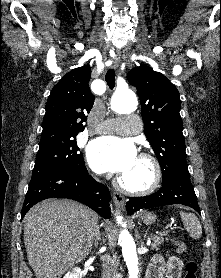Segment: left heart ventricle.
Listing matches in <instances>:
<instances>
[{
    "label": "left heart ventricle",
    "mask_w": 221,
    "mask_h": 278,
    "mask_svg": "<svg viewBox=\"0 0 221 278\" xmlns=\"http://www.w3.org/2000/svg\"><path fill=\"white\" fill-rule=\"evenodd\" d=\"M120 178L128 187L144 188L153 179V169L147 160L137 156L130 168Z\"/></svg>",
    "instance_id": "1"
}]
</instances>
